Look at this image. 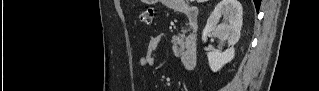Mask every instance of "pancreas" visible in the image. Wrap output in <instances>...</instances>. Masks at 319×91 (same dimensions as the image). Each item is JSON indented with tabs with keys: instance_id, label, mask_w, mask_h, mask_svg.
<instances>
[{
	"instance_id": "obj_1",
	"label": "pancreas",
	"mask_w": 319,
	"mask_h": 91,
	"mask_svg": "<svg viewBox=\"0 0 319 91\" xmlns=\"http://www.w3.org/2000/svg\"><path fill=\"white\" fill-rule=\"evenodd\" d=\"M179 39L182 41V43H184V39H185V36L184 35H181L179 36ZM183 51V48L182 49H178L177 50V55H180Z\"/></svg>"
}]
</instances>
